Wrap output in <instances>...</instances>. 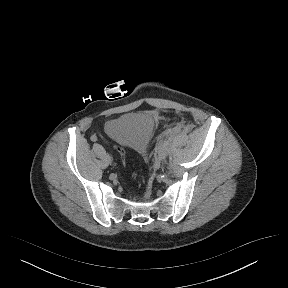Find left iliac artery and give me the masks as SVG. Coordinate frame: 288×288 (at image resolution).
I'll return each instance as SVG.
<instances>
[{
	"mask_svg": "<svg viewBox=\"0 0 288 288\" xmlns=\"http://www.w3.org/2000/svg\"><path fill=\"white\" fill-rule=\"evenodd\" d=\"M165 150H166V143L164 142L160 147V151L164 152Z\"/></svg>",
	"mask_w": 288,
	"mask_h": 288,
	"instance_id": "1",
	"label": "left iliac artery"
}]
</instances>
